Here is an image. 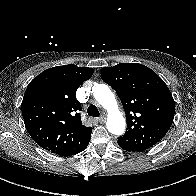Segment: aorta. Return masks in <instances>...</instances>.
Wrapping results in <instances>:
<instances>
[{
	"instance_id": "762f6f07",
	"label": "aorta",
	"mask_w": 196,
	"mask_h": 196,
	"mask_svg": "<svg viewBox=\"0 0 196 196\" xmlns=\"http://www.w3.org/2000/svg\"><path fill=\"white\" fill-rule=\"evenodd\" d=\"M92 92L96 101L108 112L107 129L114 135H122L125 131L126 122L118 109L117 101L106 84H95Z\"/></svg>"
}]
</instances>
